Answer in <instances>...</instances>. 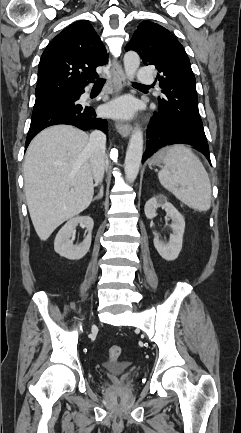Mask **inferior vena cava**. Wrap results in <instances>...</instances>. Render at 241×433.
I'll return each instance as SVG.
<instances>
[{"instance_id": "602c4592", "label": "inferior vena cava", "mask_w": 241, "mask_h": 433, "mask_svg": "<svg viewBox=\"0 0 241 433\" xmlns=\"http://www.w3.org/2000/svg\"><path fill=\"white\" fill-rule=\"evenodd\" d=\"M87 149L91 155V166L95 183L103 180L105 167L106 135L98 130L91 133Z\"/></svg>"}]
</instances>
